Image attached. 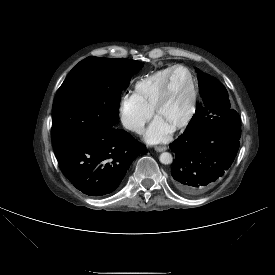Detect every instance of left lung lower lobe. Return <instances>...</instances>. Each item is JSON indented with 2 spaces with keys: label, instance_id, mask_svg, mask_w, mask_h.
I'll use <instances>...</instances> for the list:
<instances>
[{
  "label": "left lung lower lobe",
  "instance_id": "0a47b994",
  "mask_svg": "<svg viewBox=\"0 0 275 275\" xmlns=\"http://www.w3.org/2000/svg\"><path fill=\"white\" fill-rule=\"evenodd\" d=\"M240 136L218 126L180 135L170 144L176 156L171 172L174 186L187 195L213 188L233 163Z\"/></svg>",
  "mask_w": 275,
  "mask_h": 275
}]
</instances>
